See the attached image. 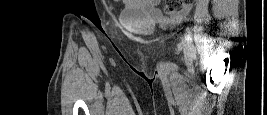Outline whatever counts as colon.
I'll list each match as a JSON object with an SVG mask.
<instances>
[{
    "mask_svg": "<svg viewBox=\"0 0 267 115\" xmlns=\"http://www.w3.org/2000/svg\"><path fill=\"white\" fill-rule=\"evenodd\" d=\"M191 0H167L165 2L164 10L167 14L176 13L188 6Z\"/></svg>",
    "mask_w": 267,
    "mask_h": 115,
    "instance_id": "colon-1",
    "label": "colon"
}]
</instances>
